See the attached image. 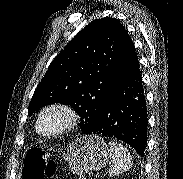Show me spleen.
<instances>
[{
    "mask_svg": "<svg viewBox=\"0 0 183 179\" xmlns=\"http://www.w3.org/2000/svg\"><path fill=\"white\" fill-rule=\"evenodd\" d=\"M113 165L110 167L109 176H118L132 167V158L126 148L117 142L108 143Z\"/></svg>",
    "mask_w": 183,
    "mask_h": 179,
    "instance_id": "obj_1",
    "label": "spleen"
}]
</instances>
